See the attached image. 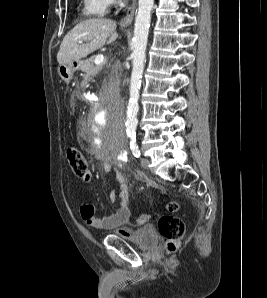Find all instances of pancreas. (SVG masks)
I'll use <instances>...</instances> for the list:
<instances>
[{
  "label": "pancreas",
  "mask_w": 267,
  "mask_h": 298,
  "mask_svg": "<svg viewBox=\"0 0 267 298\" xmlns=\"http://www.w3.org/2000/svg\"><path fill=\"white\" fill-rule=\"evenodd\" d=\"M95 58V56H92L89 59L82 61L79 66V69L82 72H85V77L87 78L95 76L98 73V71H100L103 68V63L100 65H96L94 63Z\"/></svg>",
  "instance_id": "obj_1"
}]
</instances>
